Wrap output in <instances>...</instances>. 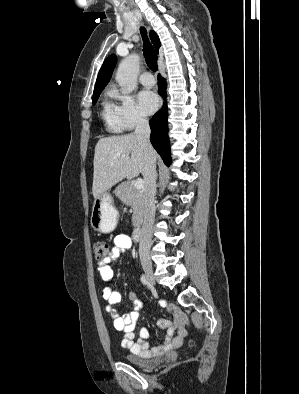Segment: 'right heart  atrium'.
<instances>
[{
  "mask_svg": "<svg viewBox=\"0 0 299 394\" xmlns=\"http://www.w3.org/2000/svg\"><path fill=\"white\" fill-rule=\"evenodd\" d=\"M110 96L116 101L114 108L122 130H132L146 122L145 115L138 109L132 96L111 88Z\"/></svg>",
  "mask_w": 299,
  "mask_h": 394,
  "instance_id": "obj_1",
  "label": "right heart atrium"
}]
</instances>
